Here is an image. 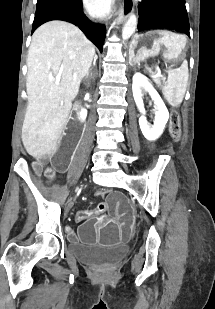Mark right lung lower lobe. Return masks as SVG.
I'll return each mask as SVG.
<instances>
[{"mask_svg":"<svg viewBox=\"0 0 215 309\" xmlns=\"http://www.w3.org/2000/svg\"><path fill=\"white\" fill-rule=\"evenodd\" d=\"M51 20H63L77 25L87 37L98 47L100 52L103 50V44L106 34V28L103 25H97L87 19L83 13V7L80 9H54L43 13L35 14L32 33L43 23Z\"/></svg>","mask_w":215,"mask_h":309,"instance_id":"1","label":"right lung lower lobe"}]
</instances>
